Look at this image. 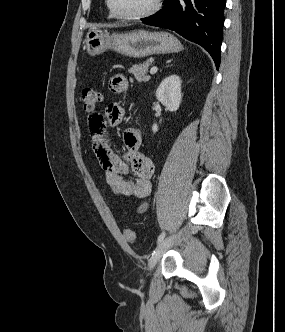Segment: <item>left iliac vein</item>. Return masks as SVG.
I'll return each instance as SVG.
<instances>
[{
	"label": "left iliac vein",
	"instance_id": "left-iliac-vein-1",
	"mask_svg": "<svg viewBox=\"0 0 285 332\" xmlns=\"http://www.w3.org/2000/svg\"><path fill=\"white\" fill-rule=\"evenodd\" d=\"M175 238L176 235L172 234L158 244L154 255L151 257L148 263V267L150 270L155 267V265L161 259L162 255L173 245Z\"/></svg>",
	"mask_w": 285,
	"mask_h": 332
}]
</instances>
